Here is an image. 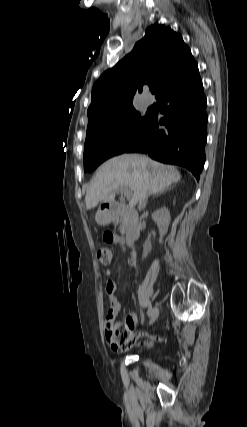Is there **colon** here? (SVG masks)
Instances as JSON below:
<instances>
[{"label":"colon","mask_w":247,"mask_h":427,"mask_svg":"<svg viewBox=\"0 0 247 427\" xmlns=\"http://www.w3.org/2000/svg\"><path fill=\"white\" fill-rule=\"evenodd\" d=\"M114 251L110 246H104L97 251V259L102 265H108L113 258ZM106 336L111 347L116 351L127 350L134 343L132 329L125 323L106 321Z\"/></svg>","instance_id":"obj_1"}]
</instances>
